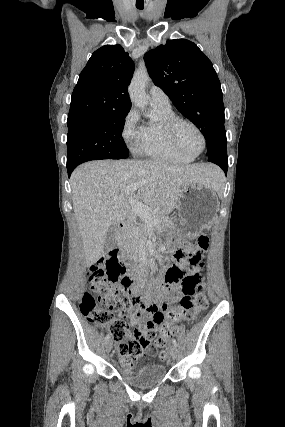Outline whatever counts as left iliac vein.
I'll return each instance as SVG.
<instances>
[{
  "label": "left iliac vein",
  "mask_w": 285,
  "mask_h": 427,
  "mask_svg": "<svg viewBox=\"0 0 285 427\" xmlns=\"http://www.w3.org/2000/svg\"><path fill=\"white\" fill-rule=\"evenodd\" d=\"M170 355L173 360H175L178 357V348L176 346L174 345L171 346Z\"/></svg>",
  "instance_id": "4c4485c4"
}]
</instances>
